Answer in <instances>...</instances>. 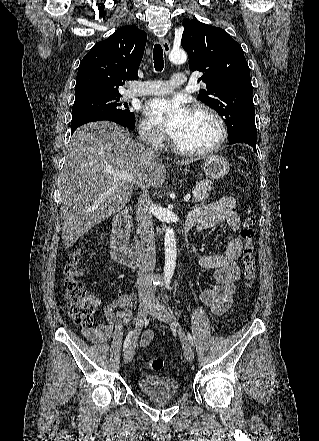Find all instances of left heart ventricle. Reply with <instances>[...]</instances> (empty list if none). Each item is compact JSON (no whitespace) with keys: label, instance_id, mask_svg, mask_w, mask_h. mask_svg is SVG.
<instances>
[{"label":"left heart ventricle","instance_id":"left-heart-ventricle-1","mask_svg":"<svg viewBox=\"0 0 319 441\" xmlns=\"http://www.w3.org/2000/svg\"><path fill=\"white\" fill-rule=\"evenodd\" d=\"M217 138V124L204 112H189L185 122L173 137L179 146L191 150L209 147Z\"/></svg>","mask_w":319,"mask_h":441}]
</instances>
